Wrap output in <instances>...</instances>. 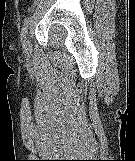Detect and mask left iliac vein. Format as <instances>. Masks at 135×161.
I'll return each mask as SVG.
<instances>
[{"label": "left iliac vein", "mask_w": 135, "mask_h": 161, "mask_svg": "<svg viewBox=\"0 0 135 161\" xmlns=\"http://www.w3.org/2000/svg\"><path fill=\"white\" fill-rule=\"evenodd\" d=\"M31 44H30V40L28 37H25L24 41H23V53L26 57H28L31 54Z\"/></svg>", "instance_id": "left-iliac-vein-1"}]
</instances>
